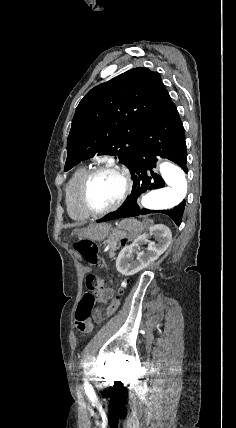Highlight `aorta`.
<instances>
[{
    "label": "aorta",
    "mask_w": 236,
    "mask_h": 428,
    "mask_svg": "<svg viewBox=\"0 0 236 428\" xmlns=\"http://www.w3.org/2000/svg\"><path fill=\"white\" fill-rule=\"evenodd\" d=\"M159 168L166 186L152 190L142 197V206L149 210L172 209L182 202L187 193L185 173L179 166L163 162Z\"/></svg>",
    "instance_id": "obj_1"
}]
</instances>
